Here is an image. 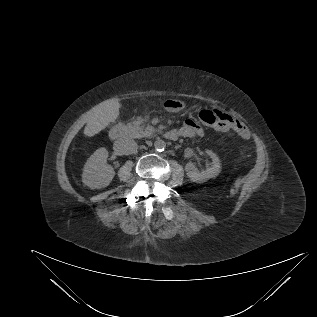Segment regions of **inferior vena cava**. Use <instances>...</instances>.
Returning a JSON list of instances; mask_svg holds the SVG:
<instances>
[{
    "instance_id": "inferior-vena-cava-1",
    "label": "inferior vena cava",
    "mask_w": 317,
    "mask_h": 317,
    "mask_svg": "<svg viewBox=\"0 0 317 317\" xmlns=\"http://www.w3.org/2000/svg\"><path fill=\"white\" fill-rule=\"evenodd\" d=\"M115 149L123 155H130L137 152L138 145L131 138H120L115 141Z\"/></svg>"
}]
</instances>
